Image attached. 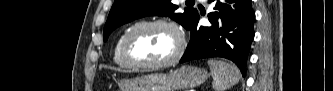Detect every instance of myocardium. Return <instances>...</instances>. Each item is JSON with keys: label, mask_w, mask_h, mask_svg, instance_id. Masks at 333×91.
I'll list each match as a JSON object with an SVG mask.
<instances>
[{"label": "myocardium", "mask_w": 333, "mask_h": 91, "mask_svg": "<svg viewBox=\"0 0 333 91\" xmlns=\"http://www.w3.org/2000/svg\"><path fill=\"white\" fill-rule=\"evenodd\" d=\"M156 26H162V27H167L171 29L174 34L176 35L178 39V45L177 48L174 52V54L167 60L160 61V62H155V63H147V62H142L133 57L131 54V41L134 37V35L139 32L140 30H143L148 27H156ZM185 37L179 26L170 20H165V19H155V20H149V21H142L131 28L127 31V33L124 36L123 43H122V53L123 57L127 61L128 64L133 66L134 68H139V69H146V70H151V69H161V68H166L174 63H176L183 55L184 50H185Z\"/></svg>", "instance_id": "1"}]
</instances>
